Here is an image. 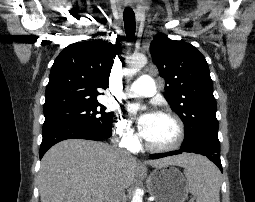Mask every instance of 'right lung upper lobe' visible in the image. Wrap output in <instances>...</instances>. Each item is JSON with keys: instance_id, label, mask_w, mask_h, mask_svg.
<instances>
[{"instance_id": "cb5924a9", "label": "right lung upper lobe", "mask_w": 255, "mask_h": 202, "mask_svg": "<svg viewBox=\"0 0 255 202\" xmlns=\"http://www.w3.org/2000/svg\"><path fill=\"white\" fill-rule=\"evenodd\" d=\"M105 33H98L101 35ZM118 40V38H117ZM120 43L82 41L64 48L51 68L45 93L44 114L81 104L98 102L97 88H107L113 59Z\"/></svg>"}]
</instances>
